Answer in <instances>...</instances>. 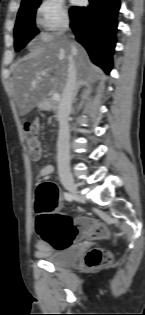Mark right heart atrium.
Listing matches in <instances>:
<instances>
[{"instance_id":"obj_1","label":"right heart atrium","mask_w":145,"mask_h":315,"mask_svg":"<svg viewBox=\"0 0 145 315\" xmlns=\"http://www.w3.org/2000/svg\"><path fill=\"white\" fill-rule=\"evenodd\" d=\"M35 21L44 32L60 34L69 26V17L64 9L62 0H41Z\"/></svg>"}]
</instances>
